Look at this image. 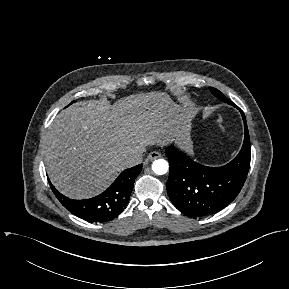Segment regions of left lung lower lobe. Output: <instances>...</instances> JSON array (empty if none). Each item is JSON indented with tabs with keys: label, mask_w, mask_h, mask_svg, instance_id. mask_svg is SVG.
I'll use <instances>...</instances> for the list:
<instances>
[{
	"label": "left lung lower lobe",
	"mask_w": 289,
	"mask_h": 289,
	"mask_svg": "<svg viewBox=\"0 0 289 289\" xmlns=\"http://www.w3.org/2000/svg\"><path fill=\"white\" fill-rule=\"evenodd\" d=\"M240 112L245 128L244 143L236 158L223 167H206L174 146L166 148L170 164L167 192L182 213L193 217L216 213L242 189L250 167L251 149L245 115Z\"/></svg>",
	"instance_id": "left-lung-lower-lobe-1"
}]
</instances>
